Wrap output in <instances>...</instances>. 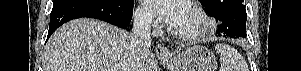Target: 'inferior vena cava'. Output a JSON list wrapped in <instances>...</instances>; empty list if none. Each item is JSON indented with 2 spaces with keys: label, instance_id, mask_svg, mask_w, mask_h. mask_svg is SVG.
<instances>
[{
  "label": "inferior vena cava",
  "instance_id": "inferior-vena-cava-1",
  "mask_svg": "<svg viewBox=\"0 0 301 71\" xmlns=\"http://www.w3.org/2000/svg\"><path fill=\"white\" fill-rule=\"evenodd\" d=\"M152 15L149 13H138L134 16L132 32L144 49L151 46L150 28Z\"/></svg>",
  "mask_w": 301,
  "mask_h": 71
}]
</instances>
